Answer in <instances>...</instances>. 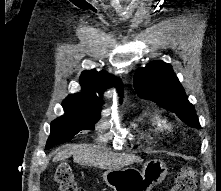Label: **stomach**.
<instances>
[{
    "mask_svg": "<svg viewBox=\"0 0 221 191\" xmlns=\"http://www.w3.org/2000/svg\"><path fill=\"white\" fill-rule=\"evenodd\" d=\"M166 174V165L155 159L147 161L142 171L133 167L106 170L103 179L114 191H150Z\"/></svg>",
    "mask_w": 221,
    "mask_h": 191,
    "instance_id": "1",
    "label": "stomach"
}]
</instances>
